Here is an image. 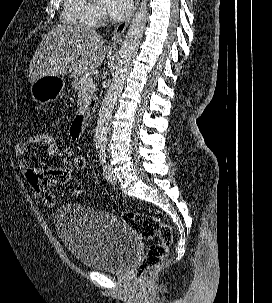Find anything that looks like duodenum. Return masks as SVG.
<instances>
[{
	"instance_id": "obj_1",
	"label": "duodenum",
	"mask_w": 272,
	"mask_h": 303,
	"mask_svg": "<svg viewBox=\"0 0 272 303\" xmlns=\"http://www.w3.org/2000/svg\"><path fill=\"white\" fill-rule=\"evenodd\" d=\"M95 109V104L93 103L90 107V110L93 111ZM88 111L87 110H81L78 112L74 119V128L77 133H81L88 117Z\"/></svg>"
}]
</instances>
